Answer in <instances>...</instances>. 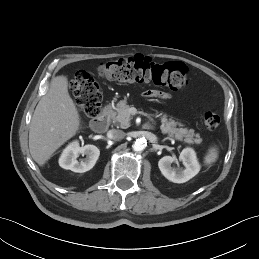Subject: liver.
Wrapping results in <instances>:
<instances>
[{"label":"liver","mask_w":259,"mask_h":259,"mask_svg":"<svg viewBox=\"0 0 259 259\" xmlns=\"http://www.w3.org/2000/svg\"><path fill=\"white\" fill-rule=\"evenodd\" d=\"M80 123V115L68 92L67 77L52 78L31 119L29 149L34 161L43 166L61 145L75 136Z\"/></svg>","instance_id":"obj_1"}]
</instances>
